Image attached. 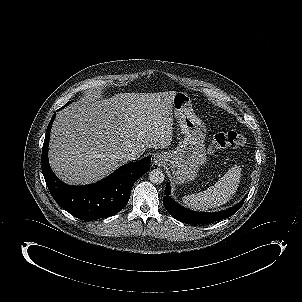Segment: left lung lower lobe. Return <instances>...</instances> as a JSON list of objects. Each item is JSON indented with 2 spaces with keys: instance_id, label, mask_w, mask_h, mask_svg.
Here are the masks:
<instances>
[{
  "instance_id": "0a47b994",
  "label": "left lung lower lobe",
  "mask_w": 302,
  "mask_h": 302,
  "mask_svg": "<svg viewBox=\"0 0 302 302\" xmlns=\"http://www.w3.org/2000/svg\"><path fill=\"white\" fill-rule=\"evenodd\" d=\"M166 196L163 197V205L170 213L172 217L176 220L186 223V224H207L213 223L222 219H226L232 216L239 208L242 206L244 199H242L237 205L230 209H226L220 212L215 213H203V212H195L188 209L183 208L179 204H177L170 196V185H166L165 189Z\"/></svg>"
}]
</instances>
